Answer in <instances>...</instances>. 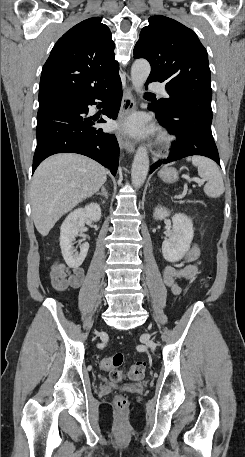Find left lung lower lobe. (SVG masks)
Segmentation results:
<instances>
[{
    "mask_svg": "<svg viewBox=\"0 0 245 457\" xmlns=\"http://www.w3.org/2000/svg\"><path fill=\"white\" fill-rule=\"evenodd\" d=\"M153 82L147 80V83ZM159 122L174 134L177 140L172 143L168 158L159 160L150 168L152 173L161 164L182 159L187 156L201 155L220 165L219 154L211 132L212 111L179 108L178 111H163L157 102L149 104Z\"/></svg>",
    "mask_w": 245,
    "mask_h": 457,
    "instance_id": "0a47b994",
    "label": "left lung lower lobe"
}]
</instances>
